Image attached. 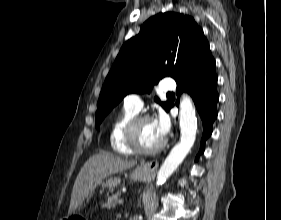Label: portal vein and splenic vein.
<instances>
[{
  "label": "portal vein and splenic vein",
  "instance_id": "obj_1",
  "mask_svg": "<svg viewBox=\"0 0 281 220\" xmlns=\"http://www.w3.org/2000/svg\"><path fill=\"white\" fill-rule=\"evenodd\" d=\"M118 202H119V205H123V203H124V199H122V198H121V199H119V201H118Z\"/></svg>",
  "mask_w": 281,
  "mask_h": 220
}]
</instances>
